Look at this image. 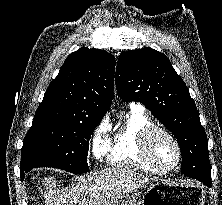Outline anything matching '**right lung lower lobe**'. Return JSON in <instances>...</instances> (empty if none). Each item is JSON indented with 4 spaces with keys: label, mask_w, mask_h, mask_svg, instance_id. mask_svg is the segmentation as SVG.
<instances>
[{
    "label": "right lung lower lobe",
    "mask_w": 222,
    "mask_h": 205,
    "mask_svg": "<svg viewBox=\"0 0 222 205\" xmlns=\"http://www.w3.org/2000/svg\"><path fill=\"white\" fill-rule=\"evenodd\" d=\"M31 169H33V168H20L21 180L24 179V174L26 172H29Z\"/></svg>",
    "instance_id": "obj_1"
}]
</instances>
